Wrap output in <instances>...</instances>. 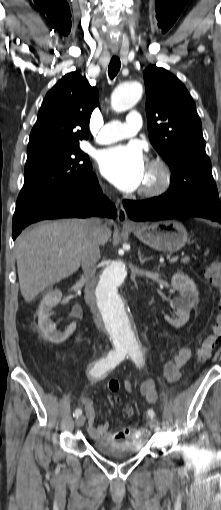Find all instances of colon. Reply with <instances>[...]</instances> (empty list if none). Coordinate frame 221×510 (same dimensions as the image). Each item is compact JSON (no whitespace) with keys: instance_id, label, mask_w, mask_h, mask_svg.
I'll list each match as a JSON object with an SVG mask.
<instances>
[{"instance_id":"1","label":"colon","mask_w":221,"mask_h":510,"mask_svg":"<svg viewBox=\"0 0 221 510\" xmlns=\"http://www.w3.org/2000/svg\"><path fill=\"white\" fill-rule=\"evenodd\" d=\"M208 279L210 282L221 289V271H218L214 268H209L207 272ZM221 341V318L217 321L214 326V330L211 334L206 336L201 342L197 353H196V364L202 365L204 364L211 356L212 352L217 346V343ZM120 388V383L116 379H112L108 383V389L112 393H117ZM115 401H119V398L116 397ZM131 412L130 409L124 408L123 414L127 416ZM136 436L139 435L138 431H136Z\"/></svg>"}]
</instances>
